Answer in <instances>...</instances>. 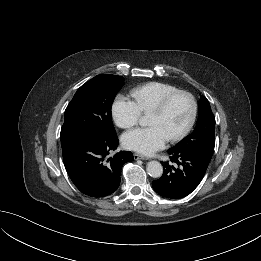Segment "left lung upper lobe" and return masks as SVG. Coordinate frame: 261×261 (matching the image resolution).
<instances>
[{"instance_id": "obj_1", "label": "left lung upper lobe", "mask_w": 261, "mask_h": 261, "mask_svg": "<svg viewBox=\"0 0 261 261\" xmlns=\"http://www.w3.org/2000/svg\"><path fill=\"white\" fill-rule=\"evenodd\" d=\"M198 106L199 116L193 133L170 149L186 150L198 154L210 162L215 147V118L210 104L204 96H201Z\"/></svg>"}]
</instances>
